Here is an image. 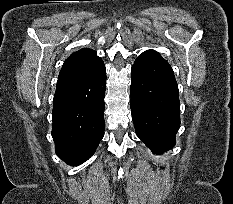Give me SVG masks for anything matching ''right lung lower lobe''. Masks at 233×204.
<instances>
[{
    "label": "right lung lower lobe",
    "instance_id": "right-lung-lower-lobe-1",
    "mask_svg": "<svg viewBox=\"0 0 233 204\" xmlns=\"http://www.w3.org/2000/svg\"><path fill=\"white\" fill-rule=\"evenodd\" d=\"M105 85L103 64L89 78L56 89L52 137L56 154L70 165L89 159L104 136Z\"/></svg>",
    "mask_w": 233,
    "mask_h": 204
}]
</instances>
